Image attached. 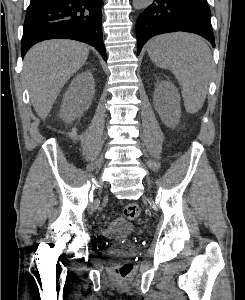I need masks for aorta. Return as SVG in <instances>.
<instances>
[{"label":"aorta","instance_id":"1","mask_svg":"<svg viewBox=\"0 0 245 300\" xmlns=\"http://www.w3.org/2000/svg\"><path fill=\"white\" fill-rule=\"evenodd\" d=\"M153 0H133V7L137 10L146 8Z\"/></svg>","mask_w":245,"mask_h":300}]
</instances>
